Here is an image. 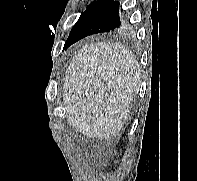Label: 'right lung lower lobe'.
<instances>
[{
    "label": "right lung lower lobe",
    "instance_id": "98d812e1",
    "mask_svg": "<svg viewBox=\"0 0 197 181\" xmlns=\"http://www.w3.org/2000/svg\"><path fill=\"white\" fill-rule=\"evenodd\" d=\"M123 25L125 22L120 18L118 1L98 0L82 13L71 30L64 48L88 35L113 31Z\"/></svg>",
    "mask_w": 197,
    "mask_h": 181
}]
</instances>
